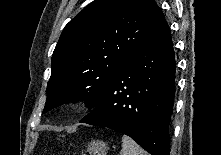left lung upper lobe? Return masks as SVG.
Instances as JSON below:
<instances>
[{
    "label": "left lung upper lobe",
    "mask_w": 221,
    "mask_h": 155,
    "mask_svg": "<svg viewBox=\"0 0 221 155\" xmlns=\"http://www.w3.org/2000/svg\"><path fill=\"white\" fill-rule=\"evenodd\" d=\"M161 14L154 0H95L84 8L53 52L44 113L70 100L95 107Z\"/></svg>",
    "instance_id": "5c2ea615"
}]
</instances>
